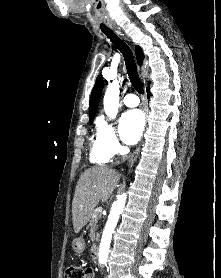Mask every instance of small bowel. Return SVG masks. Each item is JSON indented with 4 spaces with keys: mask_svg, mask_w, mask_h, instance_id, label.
I'll return each instance as SVG.
<instances>
[{
    "mask_svg": "<svg viewBox=\"0 0 221 278\" xmlns=\"http://www.w3.org/2000/svg\"><path fill=\"white\" fill-rule=\"evenodd\" d=\"M84 278H94V272L91 268L86 269Z\"/></svg>",
    "mask_w": 221,
    "mask_h": 278,
    "instance_id": "small-bowel-1",
    "label": "small bowel"
}]
</instances>
